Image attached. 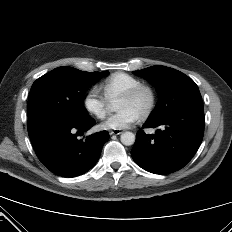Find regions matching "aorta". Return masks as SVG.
I'll return each mask as SVG.
<instances>
[{
    "label": "aorta",
    "instance_id": "1",
    "mask_svg": "<svg viewBox=\"0 0 232 232\" xmlns=\"http://www.w3.org/2000/svg\"><path fill=\"white\" fill-rule=\"evenodd\" d=\"M120 140L123 145L131 146L135 142V135L132 132L127 131L121 134Z\"/></svg>",
    "mask_w": 232,
    "mask_h": 232
}]
</instances>
